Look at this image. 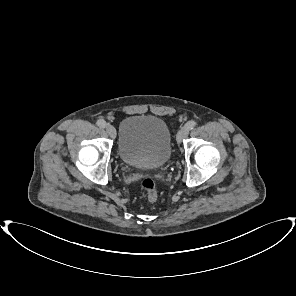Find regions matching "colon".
<instances>
[{"instance_id": "5ec220e1", "label": "colon", "mask_w": 296, "mask_h": 296, "mask_svg": "<svg viewBox=\"0 0 296 296\" xmlns=\"http://www.w3.org/2000/svg\"><path fill=\"white\" fill-rule=\"evenodd\" d=\"M141 188L147 194V198L149 201L154 202L158 198V194L156 191L155 182L150 178H145L141 182Z\"/></svg>"}]
</instances>
